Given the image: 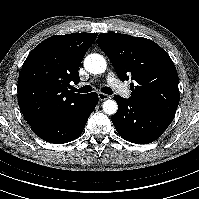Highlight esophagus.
<instances>
[{
    "label": "esophagus",
    "mask_w": 199,
    "mask_h": 199,
    "mask_svg": "<svg viewBox=\"0 0 199 199\" xmlns=\"http://www.w3.org/2000/svg\"><path fill=\"white\" fill-rule=\"evenodd\" d=\"M98 98L100 101H104V100H107L109 98V96L102 92H98Z\"/></svg>",
    "instance_id": "obj_1"
}]
</instances>
